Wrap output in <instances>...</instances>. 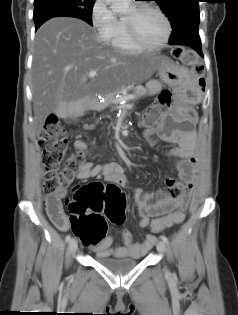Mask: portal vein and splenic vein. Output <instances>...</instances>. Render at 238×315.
<instances>
[{
	"label": "portal vein and splenic vein",
	"instance_id": "1",
	"mask_svg": "<svg viewBox=\"0 0 238 315\" xmlns=\"http://www.w3.org/2000/svg\"><path fill=\"white\" fill-rule=\"evenodd\" d=\"M90 78H94L95 76H97V72L96 71H91L88 75ZM135 95L131 94V95H128L127 97H125L126 100H133L135 99ZM118 102V101H117ZM116 102V103H117Z\"/></svg>",
	"mask_w": 238,
	"mask_h": 315
}]
</instances>
